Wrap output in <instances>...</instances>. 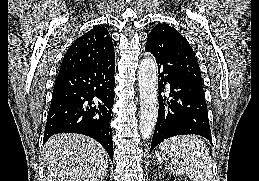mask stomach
<instances>
[{"mask_svg":"<svg viewBox=\"0 0 259 181\" xmlns=\"http://www.w3.org/2000/svg\"><path fill=\"white\" fill-rule=\"evenodd\" d=\"M155 157L158 159V161L167 160L169 158V153L168 152H163L162 154L158 153L156 154Z\"/></svg>","mask_w":259,"mask_h":181,"instance_id":"stomach-1","label":"stomach"}]
</instances>
